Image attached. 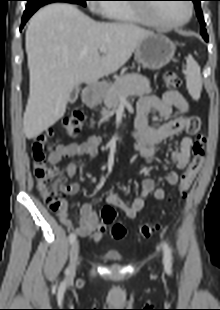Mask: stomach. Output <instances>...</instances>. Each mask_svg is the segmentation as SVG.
Segmentation results:
<instances>
[{
	"mask_svg": "<svg viewBox=\"0 0 220 310\" xmlns=\"http://www.w3.org/2000/svg\"><path fill=\"white\" fill-rule=\"evenodd\" d=\"M175 54V46L164 35L153 34L145 37L135 49V59L143 67L157 70L166 66ZM101 94L91 92L87 100L88 103L94 104L100 100Z\"/></svg>",
	"mask_w": 220,
	"mask_h": 310,
	"instance_id": "stomach-1",
	"label": "stomach"
}]
</instances>
